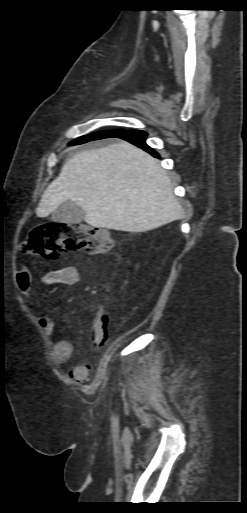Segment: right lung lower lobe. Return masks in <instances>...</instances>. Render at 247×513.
Wrapping results in <instances>:
<instances>
[{
	"mask_svg": "<svg viewBox=\"0 0 247 513\" xmlns=\"http://www.w3.org/2000/svg\"><path fill=\"white\" fill-rule=\"evenodd\" d=\"M146 135L147 134L143 131L130 130V131H123V132H120L115 135H110L107 138H109V137L122 138V139L127 140V141L131 142L132 144L142 148L143 150L147 151L154 157L159 158V155L146 144V142H145ZM70 144H72V145L80 144V141H75Z\"/></svg>",
	"mask_w": 247,
	"mask_h": 513,
	"instance_id": "98d812e1",
	"label": "right lung lower lobe"
}]
</instances>
